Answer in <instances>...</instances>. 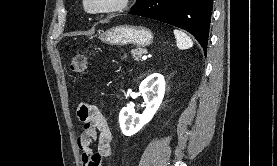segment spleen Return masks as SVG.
Returning <instances> with one entry per match:
<instances>
[{
  "label": "spleen",
  "instance_id": "1",
  "mask_svg": "<svg viewBox=\"0 0 277 166\" xmlns=\"http://www.w3.org/2000/svg\"><path fill=\"white\" fill-rule=\"evenodd\" d=\"M174 35L176 38V43H177V47L180 50H185V49H189L193 46V41L192 39L183 31L175 29L174 30Z\"/></svg>",
  "mask_w": 277,
  "mask_h": 166
}]
</instances>
